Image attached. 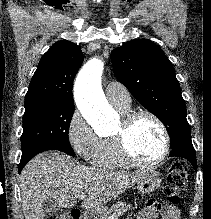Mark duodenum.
<instances>
[{
	"label": "duodenum",
	"instance_id": "1",
	"mask_svg": "<svg viewBox=\"0 0 211 219\" xmlns=\"http://www.w3.org/2000/svg\"><path fill=\"white\" fill-rule=\"evenodd\" d=\"M96 212L92 209H87L81 214V219H95Z\"/></svg>",
	"mask_w": 211,
	"mask_h": 219
}]
</instances>
